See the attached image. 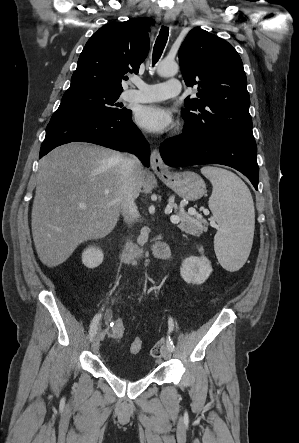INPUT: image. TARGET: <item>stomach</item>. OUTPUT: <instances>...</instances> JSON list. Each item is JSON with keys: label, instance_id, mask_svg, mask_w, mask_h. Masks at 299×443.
Returning a JSON list of instances; mask_svg holds the SVG:
<instances>
[{"label": "stomach", "instance_id": "1", "mask_svg": "<svg viewBox=\"0 0 299 443\" xmlns=\"http://www.w3.org/2000/svg\"><path fill=\"white\" fill-rule=\"evenodd\" d=\"M157 175L166 186L183 199L195 201L206 192L204 180L194 172H165Z\"/></svg>", "mask_w": 299, "mask_h": 443}]
</instances>
